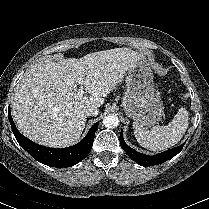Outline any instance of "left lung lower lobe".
Listing matches in <instances>:
<instances>
[{"instance_id":"0a47b994","label":"left lung lower lobe","mask_w":209,"mask_h":209,"mask_svg":"<svg viewBox=\"0 0 209 209\" xmlns=\"http://www.w3.org/2000/svg\"><path fill=\"white\" fill-rule=\"evenodd\" d=\"M120 145L125 150V152L127 153L129 157H131L139 165L145 166V167L164 163L165 161L177 155L183 149V146H184L183 144L173 149H170L168 151H165L163 153L157 154L155 156H148L145 154H141L135 151L134 149H132L131 147H129L123 140L122 131L120 133Z\"/></svg>"}]
</instances>
